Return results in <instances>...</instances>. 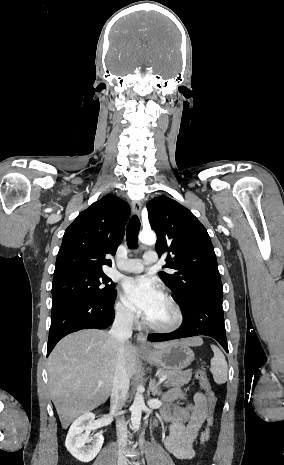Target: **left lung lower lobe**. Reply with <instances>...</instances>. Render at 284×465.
I'll return each instance as SVG.
<instances>
[{"mask_svg":"<svg viewBox=\"0 0 284 465\" xmlns=\"http://www.w3.org/2000/svg\"><path fill=\"white\" fill-rule=\"evenodd\" d=\"M181 304L184 319L180 328L169 334L149 335V340L160 342L206 335L216 339L228 352L222 298L199 295Z\"/></svg>","mask_w":284,"mask_h":465,"instance_id":"obj_1","label":"left lung lower lobe"}]
</instances>
